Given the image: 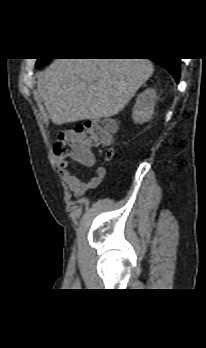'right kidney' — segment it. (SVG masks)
<instances>
[{
	"label": "right kidney",
	"instance_id": "ca27d5eb",
	"mask_svg": "<svg viewBox=\"0 0 206 348\" xmlns=\"http://www.w3.org/2000/svg\"><path fill=\"white\" fill-rule=\"evenodd\" d=\"M156 97L154 89H147L138 95L132 111L135 123L143 124L153 118Z\"/></svg>",
	"mask_w": 206,
	"mask_h": 348
}]
</instances>
